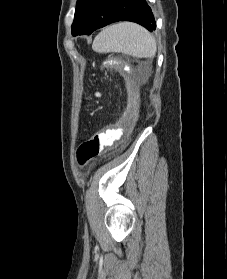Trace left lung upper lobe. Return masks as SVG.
Returning <instances> with one entry per match:
<instances>
[{
    "instance_id": "left-lung-upper-lobe-1",
    "label": "left lung upper lobe",
    "mask_w": 227,
    "mask_h": 279,
    "mask_svg": "<svg viewBox=\"0 0 227 279\" xmlns=\"http://www.w3.org/2000/svg\"><path fill=\"white\" fill-rule=\"evenodd\" d=\"M92 1L93 0H77L74 22L72 24V35L81 29Z\"/></svg>"
}]
</instances>
